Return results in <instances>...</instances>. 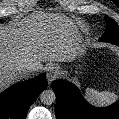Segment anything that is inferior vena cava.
Wrapping results in <instances>:
<instances>
[{"label": "inferior vena cava", "instance_id": "obj_1", "mask_svg": "<svg viewBox=\"0 0 119 119\" xmlns=\"http://www.w3.org/2000/svg\"><path fill=\"white\" fill-rule=\"evenodd\" d=\"M35 71H36V68L33 66L24 67L21 69V74H22L23 78H28L29 76L34 74Z\"/></svg>", "mask_w": 119, "mask_h": 119}]
</instances>
